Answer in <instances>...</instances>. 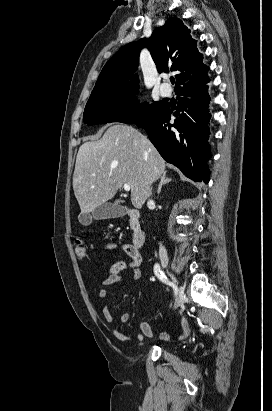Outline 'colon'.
Here are the masks:
<instances>
[{
	"label": "colon",
	"mask_w": 272,
	"mask_h": 411,
	"mask_svg": "<svg viewBox=\"0 0 272 411\" xmlns=\"http://www.w3.org/2000/svg\"><path fill=\"white\" fill-rule=\"evenodd\" d=\"M75 254L79 259H84L87 256V249L80 240L77 241Z\"/></svg>",
	"instance_id": "colon-1"
}]
</instances>
